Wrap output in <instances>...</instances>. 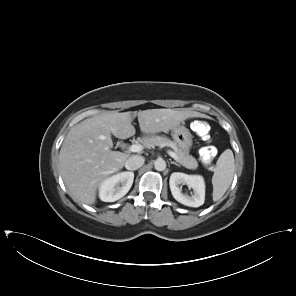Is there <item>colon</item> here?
Segmentation results:
<instances>
[{
  "instance_id": "colon-1",
  "label": "colon",
  "mask_w": 296,
  "mask_h": 296,
  "mask_svg": "<svg viewBox=\"0 0 296 296\" xmlns=\"http://www.w3.org/2000/svg\"><path fill=\"white\" fill-rule=\"evenodd\" d=\"M192 131L200 136L207 137L209 133V129L207 124L201 120H195L191 123ZM215 151L212 146H206L200 150V158L203 162H208L214 157Z\"/></svg>"
}]
</instances>
